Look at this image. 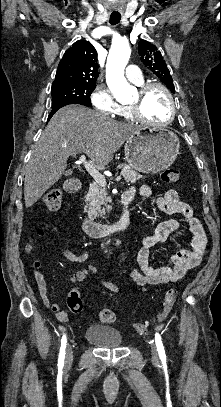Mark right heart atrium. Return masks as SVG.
I'll return each instance as SVG.
<instances>
[{
    "label": "right heart atrium",
    "mask_w": 221,
    "mask_h": 407,
    "mask_svg": "<svg viewBox=\"0 0 221 407\" xmlns=\"http://www.w3.org/2000/svg\"><path fill=\"white\" fill-rule=\"evenodd\" d=\"M90 102L96 111L109 116L117 114L120 109L109 89L103 85L94 88L90 95Z\"/></svg>",
    "instance_id": "obj_1"
}]
</instances>
